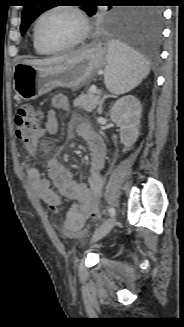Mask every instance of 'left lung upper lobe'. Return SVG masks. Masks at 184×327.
<instances>
[{
  "label": "left lung upper lobe",
  "instance_id": "1",
  "mask_svg": "<svg viewBox=\"0 0 184 327\" xmlns=\"http://www.w3.org/2000/svg\"><path fill=\"white\" fill-rule=\"evenodd\" d=\"M22 12L21 35H24L30 24L42 12L48 10L50 1L48 0H29ZM109 6L108 11L102 12L95 5H84L82 9L90 17H95L105 28L121 29L134 18L137 10L113 9Z\"/></svg>",
  "mask_w": 184,
  "mask_h": 327
}]
</instances>
